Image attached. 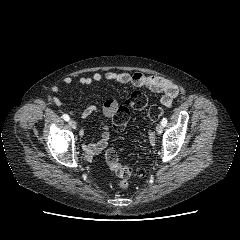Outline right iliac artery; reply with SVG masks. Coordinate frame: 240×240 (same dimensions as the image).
I'll list each match as a JSON object with an SVG mask.
<instances>
[{"instance_id": "82829eb1", "label": "right iliac artery", "mask_w": 240, "mask_h": 240, "mask_svg": "<svg viewBox=\"0 0 240 240\" xmlns=\"http://www.w3.org/2000/svg\"><path fill=\"white\" fill-rule=\"evenodd\" d=\"M62 117H63V119H64L65 121H69V119H70L69 116H68L67 114H63Z\"/></svg>"}]
</instances>
